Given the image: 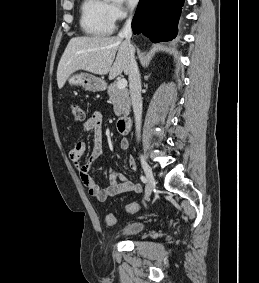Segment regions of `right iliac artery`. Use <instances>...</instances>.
<instances>
[{"instance_id":"82829eb1","label":"right iliac artery","mask_w":259,"mask_h":283,"mask_svg":"<svg viewBox=\"0 0 259 283\" xmlns=\"http://www.w3.org/2000/svg\"><path fill=\"white\" fill-rule=\"evenodd\" d=\"M140 178H141V181H142L143 183H145V184L147 183V179H146L144 176H141Z\"/></svg>"}]
</instances>
